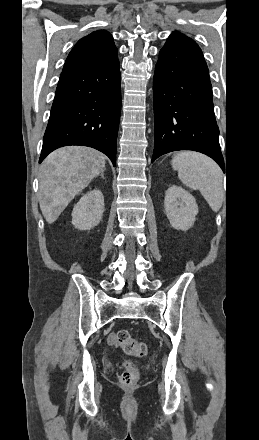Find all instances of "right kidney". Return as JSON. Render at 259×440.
<instances>
[{"instance_id": "1", "label": "right kidney", "mask_w": 259, "mask_h": 440, "mask_svg": "<svg viewBox=\"0 0 259 440\" xmlns=\"http://www.w3.org/2000/svg\"><path fill=\"white\" fill-rule=\"evenodd\" d=\"M104 212V197L100 190L89 191L74 206L72 224L79 230H91L97 226Z\"/></svg>"}]
</instances>
